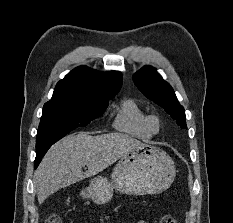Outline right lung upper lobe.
I'll list each match as a JSON object with an SVG mask.
<instances>
[{
  "label": "right lung upper lobe",
  "instance_id": "cb5924a9",
  "mask_svg": "<svg viewBox=\"0 0 233 223\" xmlns=\"http://www.w3.org/2000/svg\"><path fill=\"white\" fill-rule=\"evenodd\" d=\"M121 85L122 75L119 72L103 73L80 66L57 83L52 99L108 103L118 93Z\"/></svg>",
  "mask_w": 233,
  "mask_h": 223
}]
</instances>
